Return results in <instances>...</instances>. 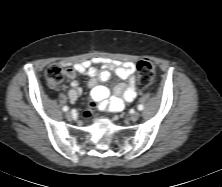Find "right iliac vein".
Instances as JSON below:
<instances>
[{
  "label": "right iliac vein",
  "instance_id": "63e3f726",
  "mask_svg": "<svg viewBox=\"0 0 222 187\" xmlns=\"http://www.w3.org/2000/svg\"><path fill=\"white\" fill-rule=\"evenodd\" d=\"M67 119H71L72 118V113L71 112H66L65 114Z\"/></svg>",
  "mask_w": 222,
  "mask_h": 187
}]
</instances>
